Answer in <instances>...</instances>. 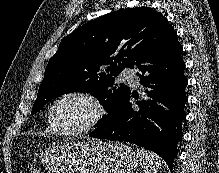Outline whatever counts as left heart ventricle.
Returning <instances> with one entry per match:
<instances>
[{
  "mask_svg": "<svg viewBox=\"0 0 219 173\" xmlns=\"http://www.w3.org/2000/svg\"><path fill=\"white\" fill-rule=\"evenodd\" d=\"M92 114L91 106L80 98H68L60 102L54 119L63 131H72L84 125Z\"/></svg>",
  "mask_w": 219,
  "mask_h": 173,
  "instance_id": "obj_1",
  "label": "left heart ventricle"
}]
</instances>
